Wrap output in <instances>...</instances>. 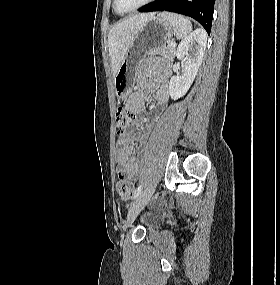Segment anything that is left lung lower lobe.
Segmentation results:
<instances>
[{
  "instance_id": "1",
  "label": "left lung lower lobe",
  "mask_w": 280,
  "mask_h": 285,
  "mask_svg": "<svg viewBox=\"0 0 280 285\" xmlns=\"http://www.w3.org/2000/svg\"><path fill=\"white\" fill-rule=\"evenodd\" d=\"M215 0H155L139 12L170 11L197 20L210 34Z\"/></svg>"
}]
</instances>
